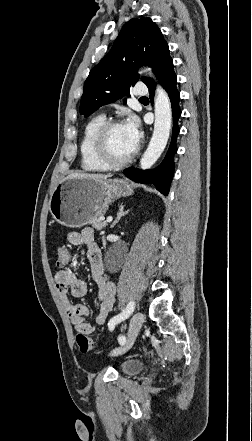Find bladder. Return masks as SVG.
Instances as JSON below:
<instances>
[{"label": "bladder", "mask_w": 252, "mask_h": 441, "mask_svg": "<svg viewBox=\"0 0 252 441\" xmlns=\"http://www.w3.org/2000/svg\"><path fill=\"white\" fill-rule=\"evenodd\" d=\"M143 368V362L139 359H126L121 363L120 370L125 375H136Z\"/></svg>", "instance_id": "bladder-1"}]
</instances>
